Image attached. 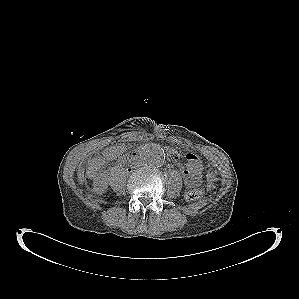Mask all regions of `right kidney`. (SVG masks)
<instances>
[{"mask_svg": "<svg viewBox=\"0 0 299 299\" xmlns=\"http://www.w3.org/2000/svg\"><path fill=\"white\" fill-rule=\"evenodd\" d=\"M93 185H94V190L97 193H103L108 187V184H107L103 174L98 175L94 179Z\"/></svg>", "mask_w": 299, "mask_h": 299, "instance_id": "obj_1", "label": "right kidney"}]
</instances>
